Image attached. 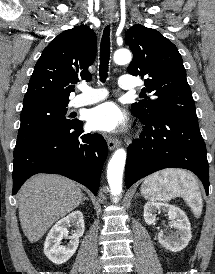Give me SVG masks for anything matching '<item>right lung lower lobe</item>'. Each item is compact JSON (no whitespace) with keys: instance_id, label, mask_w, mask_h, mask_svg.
Returning a JSON list of instances; mask_svg holds the SVG:
<instances>
[{"instance_id":"right-lung-lower-lobe-1","label":"right lung lower lobe","mask_w":215,"mask_h":274,"mask_svg":"<svg viewBox=\"0 0 215 274\" xmlns=\"http://www.w3.org/2000/svg\"><path fill=\"white\" fill-rule=\"evenodd\" d=\"M83 123L41 137L14 155L13 192L37 173H55L75 180L97 195L108 147L100 134L84 133Z\"/></svg>"}]
</instances>
